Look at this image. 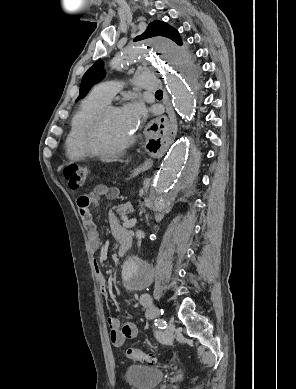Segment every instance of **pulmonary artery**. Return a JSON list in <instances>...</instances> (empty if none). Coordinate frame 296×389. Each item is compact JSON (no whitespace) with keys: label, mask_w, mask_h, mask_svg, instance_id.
Masks as SVG:
<instances>
[{"label":"pulmonary artery","mask_w":296,"mask_h":389,"mask_svg":"<svg viewBox=\"0 0 296 389\" xmlns=\"http://www.w3.org/2000/svg\"><path fill=\"white\" fill-rule=\"evenodd\" d=\"M134 82L138 87L143 89L155 90L157 88V80L152 74L139 76L135 79ZM120 89L121 83L117 81H104L96 84L93 87L92 92L108 103Z\"/></svg>","instance_id":"1"}]
</instances>
